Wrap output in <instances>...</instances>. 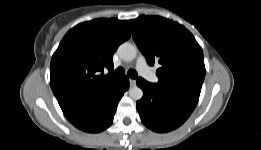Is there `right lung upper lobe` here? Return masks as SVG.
I'll list each match as a JSON object with an SVG mask.
<instances>
[{"instance_id":"1","label":"right lung upper lobe","mask_w":261,"mask_h":150,"mask_svg":"<svg viewBox=\"0 0 261 150\" xmlns=\"http://www.w3.org/2000/svg\"><path fill=\"white\" fill-rule=\"evenodd\" d=\"M130 35L128 21L111 18L81 23L64 36L51 59L50 84L67 119L121 85L112 57Z\"/></svg>"}]
</instances>
